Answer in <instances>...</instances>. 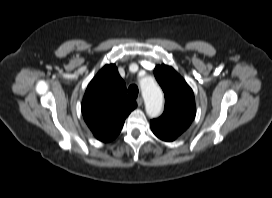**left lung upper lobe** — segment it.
<instances>
[{"label": "left lung upper lobe", "instance_id": "5c2ea615", "mask_svg": "<svg viewBox=\"0 0 272 198\" xmlns=\"http://www.w3.org/2000/svg\"><path fill=\"white\" fill-rule=\"evenodd\" d=\"M154 75L165 93V111L150 122L151 127L178 137L195 118V100L192 89L170 66L159 65Z\"/></svg>", "mask_w": 272, "mask_h": 198}]
</instances>
